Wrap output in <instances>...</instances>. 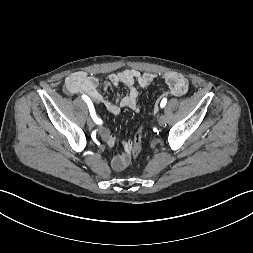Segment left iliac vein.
Returning a JSON list of instances; mask_svg holds the SVG:
<instances>
[{"instance_id":"1","label":"left iliac vein","mask_w":253,"mask_h":253,"mask_svg":"<svg viewBox=\"0 0 253 253\" xmlns=\"http://www.w3.org/2000/svg\"><path fill=\"white\" fill-rule=\"evenodd\" d=\"M166 121H167V119H166V117H165L164 115L159 116V118H158V123H159L160 125L165 124Z\"/></svg>"}]
</instances>
